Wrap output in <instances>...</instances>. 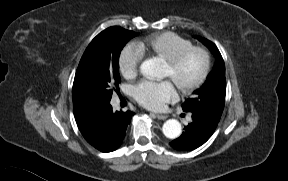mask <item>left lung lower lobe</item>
I'll list each match as a JSON object with an SVG mask.
<instances>
[{"mask_svg":"<svg viewBox=\"0 0 288 181\" xmlns=\"http://www.w3.org/2000/svg\"><path fill=\"white\" fill-rule=\"evenodd\" d=\"M192 121L185 127L182 135L170 145L180 151H191L204 144L214 133L219 120L202 112H192Z\"/></svg>","mask_w":288,"mask_h":181,"instance_id":"obj_1","label":"left lung lower lobe"}]
</instances>
